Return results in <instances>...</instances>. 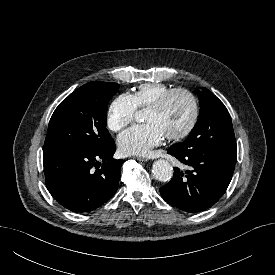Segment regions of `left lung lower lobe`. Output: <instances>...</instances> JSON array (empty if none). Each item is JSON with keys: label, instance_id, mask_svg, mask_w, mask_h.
<instances>
[{"label": "left lung lower lobe", "instance_id": "left-lung-lower-lobe-1", "mask_svg": "<svg viewBox=\"0 0 275 275\" xmlns=\"http://www.w3.org/2000/svg\"><path fill=\"white\" fill-rule=\"evenodd\" d=\"M167 152L193 168L186 173L174 169L173 179L160 188L167 203L186 212H200L213 206L226 192L237 153L209 149L183 152L173 146Z\"/></svg>", "mask_w": 275, "mask_h": 275}]
</instances>
